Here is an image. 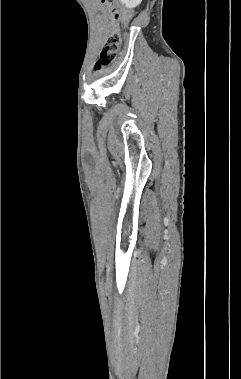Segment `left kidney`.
<instances>
[{"label":"left kidney","instance_id":"5707ae66","mask_svg":"<svg viewBox=\"0 0 241 379\" xmlns=\"http://www.w3.org/2000/svg\"><path fill=\"white\" fill-rule=\"evenodd\" d=\"M122 4H124L127 8H135L137 7L142 0H120Z\"/></svg>","mask_w":241,"mask_h":379}]
</instances>
